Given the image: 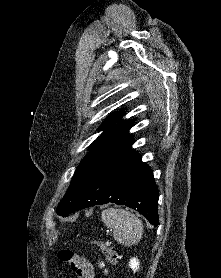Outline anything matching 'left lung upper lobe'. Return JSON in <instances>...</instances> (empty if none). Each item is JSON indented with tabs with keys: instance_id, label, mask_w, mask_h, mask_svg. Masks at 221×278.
I'll use <instances>...</instances> for the list:
<instances>
[{
	"instance_id": "5c2ea615",
	"label": "left lung upper lobe",
	"mask_w": 221,
	"mask_h": 278,
	"mask_svg": "<svg viewBox=\"0 0 221 278\" xmlns=\"http://www.w3.org/2000/svg\"><path fill=\"white\" fill-rule=\"evenodd\" d=\"M125 111L109 115L99 131L103 133L90 145L91 149L77 167L71 184L60 202L57 212L68 216L77 200L97 173L121 151L133 143V136L128 131L133 121L122 120Z\"/></svg>"
}]
</instances>
